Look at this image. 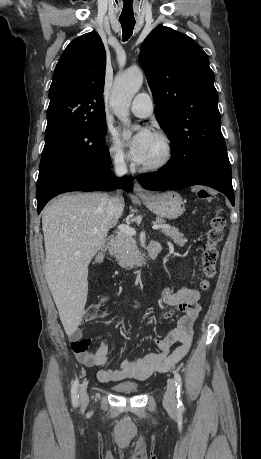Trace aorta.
Returning a JSON list of instances; mask_svg holds the SVG:
<instances>
[{"instance_id":"aorta-1","label":"aorta","mask_w":261,"mask_h":459,"mask_svg":"<svg viewBox=\"0 0 261 459\" xmlns=\"http://www.w3.org/2000/svg\"><path fill=\"white\" fill-rule=\"evenodd\" d=\"M143 84V73L137 68L128 69L116 76L110 105L115 115L125 124L129 125V106L135 94ZM131 135V131H124L125 138Z\"/></svg>"}]
</instances>
